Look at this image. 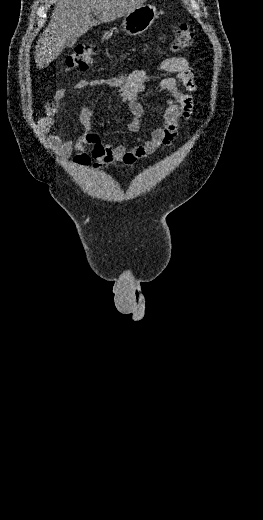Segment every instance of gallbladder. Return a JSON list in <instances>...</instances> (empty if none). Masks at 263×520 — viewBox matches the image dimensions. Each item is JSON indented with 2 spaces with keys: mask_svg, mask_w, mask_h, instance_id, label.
Wrapping results in <instances>:
<instances>
[{
  "mask_svg": "<svg viewBox=\"0 0 263 520\" xmlns=\"http://www.w3.org/2000/svg\"><path fill=\"white\" fill-rule=\"evenodd\" d=\"M72 46H73V45H72L71 42H70V46H68V47H72Z\"/></svg>",
  "mask_w": 263,
  "mask_h": 520,
  "instance_id": "obj_1",
  "label": "gallbladder"
}]
</instances>
